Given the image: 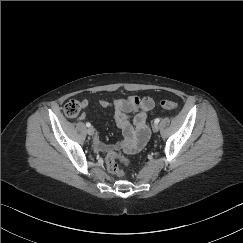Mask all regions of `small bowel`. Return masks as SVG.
Here are the masks:
<instances>
[{
    "instance_id": "obj_1",
    "label": "small bowel",
    "mask_w": 243,
    "mask_h": 243,
    "mask_svg": "<svg viewBox=\"0 0 243 243\" xmlns=\"http://www.w3.org/2000/svg\"><path fill=\"white\" fill-rule=\"evenodd\" d=\"M91 102L90 99H84L82 104L87 107ZM98 104L103 108L113 109L114 121L121 129L123 138L115 144H105L99 137H95L93 140L95 150L105 154L121 150L129 153L139 151L149 136L146 120L149 112L154 108L153 99L132 95L111 100L101 98ZM131 114H134V126L130 122ZM85 117V113L80 115V119H85Z\"/></svg>"
}]
</instances>
